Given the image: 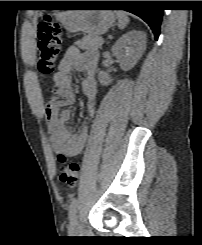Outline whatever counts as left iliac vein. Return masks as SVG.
I'll list each match as a JSON object with an SVG mask.
<instances>
[{
    "label": "left iliac vein",
    "instance_id": "left-iliac-vein-1",
    "mask_svg": "<svg viewBox=\"0 0 202 245\" xmlns=\"http://www.w3.org/2000/svg\"><path fill=\"white\" fill-rule=\"evenodd\" d=\"M81 231V225L78 219V216L75 214L70 220V232L76 234Z\"/></svg>",
    "mask_w": 202,
    "mask_h": 245
}]
</instances>
